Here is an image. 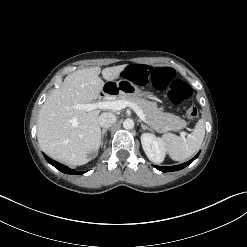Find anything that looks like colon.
I'll return each mask as SVG.
<instances>
[{
  "label": "colon",
  "mask_w": 247,
  "mask_h": 247,
  "mask_svg": "<svg viewBox=\"0 0 247 247\" xmlns=\"http://www.w3.org/2000/svg\"><path fill=\"white\" fill-rule=\"evenodd\" d=\"M115 78L118 81H125L127 78L137 85L151 83L158 89H167L169 100L173 104H180L191 97V87L183 80L175 78V73L169 67H151L147 64H133L125 68H118L115 71ZM189 119H196L198 109L190 105L186 110Z\"/></svg>",
  "instance_id": "obj_1"
}]
</instances>
